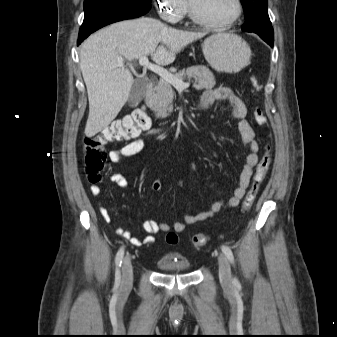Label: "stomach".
<instances>
[{"instance_id":"0dacf381","label":"stomach","mask_w":337,"mask_h":337,"mask_svg":"<svg viewBox=\"0 0 337 337\" xmlns=\"http://www.w3.org/2000/svg\"><path fill=\"white\" fill-rule=\"evenodd\" d=\"M202 48L210 66L224 73L241 71L249 64L252 55L249 45L232 33L212 35L204 41Z\"/></svg>"}]
</instances>
